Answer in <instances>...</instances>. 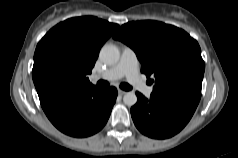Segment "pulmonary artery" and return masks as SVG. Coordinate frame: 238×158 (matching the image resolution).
<instances>
[{
	"instance_id": "e3ab8cb5",
	"label": "pulmonary artery",
	"mask_w": 238,
	"mask_h": 158,
	"mask_svg": "<svg viewBox=\"0 0 238 158\" xmlns=\"http://www.w3.org/2000/svg\"><path fill=\"white\" fill-rule=\"evenodd\" d=\"M124 76L144 95H151L153 87L146 85L141 79L137 56L135 52L129 47L123 48L120 60L115 65L101 74L93 75L91 79L93 81L98 79L113 81Z\"/></svg>"
}]
</instances>
